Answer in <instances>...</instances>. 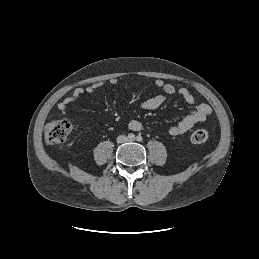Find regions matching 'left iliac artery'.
I'll return each instance as SVG.
<instances>
[{
    "instance_id": "1",
    "label": "left iliac artery",
    "mask_w": 259,
    "mask_h": 259,
    "mask_svg": "<svg viewBox=\"0 0 259 259\" xmlns=\"http://www.w3.org/2000/svg\"><path fill=\"white\" fill-rule=\"evenodd\" d=\"M142 136L141 135H138L137 137H136V140L138 141V142H141L142 141Z\"/></svg>"
}]
</instances>
